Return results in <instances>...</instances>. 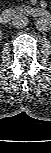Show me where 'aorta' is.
<instances>
[{"instance_id": "1", "label": "aorta", "mask_w": 51, "mask_h": 153, "mask_svg": "<svg viewBox=\"0 0 51 153\" xmlns=\"http://www.w3.org/2000/svg\"><path fill=\"white\" fill-rule=\"evenodd\" d=\"M36 28L40 31H47L51 26V19L49 16H41L36 21Z\"/></svg>"}]
</instances>
